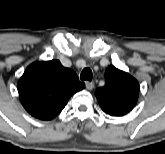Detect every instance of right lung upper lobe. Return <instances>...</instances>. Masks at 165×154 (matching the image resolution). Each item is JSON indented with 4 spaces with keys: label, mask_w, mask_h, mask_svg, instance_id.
Masks as SVG:
<instances>
[{
    "label": "right lung upper lobe",
    "mask_w": 165,
    "mask_h": 154,
    "mask_svg": "<svg viewBox=\"0 0 165 154\" xmlns=\"http://www.w3.org/2000/svg\"><path fill=\"white\" fill-rule=\"evenodd\" d=\"M24 108L41 120H51L69 98L85 87L77 74L59 60L41 61L27 67L17 84Z\"/></svg>",
    "instance_id": "obj_1"
}]
</instances>
